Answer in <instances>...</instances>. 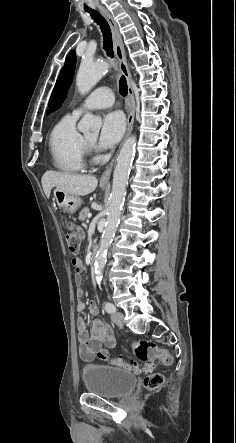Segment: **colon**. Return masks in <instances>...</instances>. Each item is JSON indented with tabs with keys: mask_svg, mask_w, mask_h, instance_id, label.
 I'll use <instances>...</instances> for the list:
<instances>
[{
	"mask_svg": "<svg viewBox=\"0 0 236 443\" xmlns=\"http://www.w3.org/2000/svg\"><path fill=\"white\" fill-rule=\"evenodd\" d=\"M65 240L71 253H76L81 243V230L79 226L73 221H66L64 223ZM75 260V259H73ZM75 267V279L81 275V270L77 266L76 261L73 262ZM132 351L136 357L144 364L143 370L149 371L155 362H160L164 365L172 364L171 353L163 348L158 347L154 342L149 340H137L132 343ZM97 356L104 361H109L112 365L124 369H137V366L132 361H127L121 357H110L108 350L105 348H98ZM164 382V377L161 373L149 374L145 380L144 385L150 390L159 388Z\"/></svg>",
	"mask_w": 236,
	"mask_h": 443,
	"instance_id": "5ec220e1",
	"label": "colon"
}]
</instances>
